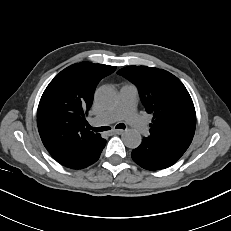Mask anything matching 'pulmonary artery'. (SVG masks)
Returning a JSON list of instances; mask_svg holds the SVG:
<instances>
[{
    "label": "pulmonary artery",
    "instance_id": "1",
    "mask_svg": "<svg viewBox=\"0 0 231 231\" xmlns=\"http://www.w3.org/2000/svg\"><path fill=\"white\" fill-rule=\"evenodd\" d=\"M137 89L134 85H124L119 92L117 105L92 119L95 124L108 125L119 120H125L137 132L146 133L148 127L136 112Z\"/></svg>",
    "mask_w": 231,
    "mask_h": 231
}]
</instances>
